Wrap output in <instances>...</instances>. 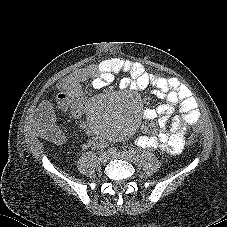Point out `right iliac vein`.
<instances>
[{"label": "right iliac vein", "instance_id": "63e3f726", "mask_svg": "<svg viewBox=\"0 0 227 227\" xmlns=\"http://www.w3.org/2000/svg\"><path fill=\"white\" fill-rule=\"evenodd\" d=\"M109 160V153L108 152H102L99 156V161L102 163H106Z\"/></svg>", "mask_w": 227, "mask_h": 227}]
</instances>
